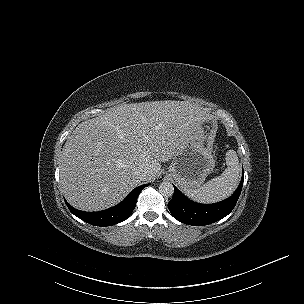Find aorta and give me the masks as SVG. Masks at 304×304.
<instances>
[{
  "label": "aorta",
  "mask_w": 304,
  "mask_h": 304,
  "mask_svg": "<svg viewBox=\"0 0 304 304\" xmlns=\"http://www.w3.org/2000/svg\"><path fill=\"white\" fill-rule=\"evenodd\" d=\"M159 192L164 197H172L174 194V187L170 182L164 181L159 185Z\"/></svg>",
  "instance_id": "1"
}]
</instances>
